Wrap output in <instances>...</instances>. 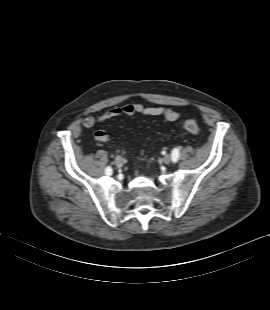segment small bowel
Returning <instances> with one entry per match:
<instances>
[{
	"mask_svg": "<svg viewBox=\"0 0 270 310\" xmlns=\"http://www.w3.org/2000/svg\"><path fill=\"white\" fill-rule=\"evenodd\" d=\"M136 114L144 116H162L166 121L174 122L179 118L177 111L167 107H149L142 103L126 104L120 107L108 109L99 117L88 116L83 119L82 124L85 128H92L113 118L121 116H134ZM94 139L98 142H106L111 139L108 133L98 130L94 133Z\"/></svg>",
	"mask_w": 270,
	"mask_h": 310,
	"instance_id": "obj_1",
	"label": "small bowel"
}]
</instances>
